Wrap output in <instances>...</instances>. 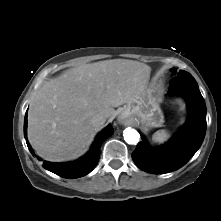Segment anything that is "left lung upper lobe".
<instances>
[{
  "instance_id": "left-lung-upper-lobe-1",
  "label": "left lung upper lobe",
  "mask_w": 221,
  "mask_h": 221,
  "mask_svg": "<svg viewBox=\"0 0 221 221\" xmlns=\"http://www.w3.org/2000/svg\"><path fill=\"white\" fill-rule=\"evenodd\" d=\"M170 71L175 75L174 79L170 83H172L173 81H175L178 78L191 76L188 72L183 71V70H180L179 72H176L175 69L173 68Z\"/></svg>"
}]
</instances>
